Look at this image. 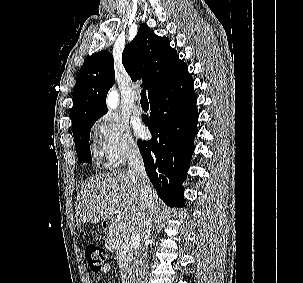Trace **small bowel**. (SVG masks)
Segmentation results:
<instances>
[{"mask_svg": "<svg viewBox=\"0 0 303 283\" xmlns=\"http://www.w3.org/2000/svg\"><path fill=\"white\" fill-rule=\"evenodd\" d=\"M110 268H111V266H110L109 264L106 265V266L104 267L103 271H102V275H105L106 273H108L109 270H110Z\"/></svg>", "mask_w": 303, "mask_h": 283, "instance_id": "obj_1", "label": "small bowel"}]
</instances>
